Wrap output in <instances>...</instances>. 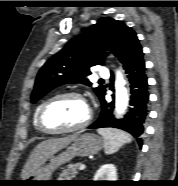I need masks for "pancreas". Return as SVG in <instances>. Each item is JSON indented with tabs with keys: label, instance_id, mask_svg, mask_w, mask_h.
Masks as SVG:
<instances>
[{
	"label": "pancreas",
	"instance_id": "1",
	"mask_svg": "<svg viewBox=\"0 0 178 186\" xmlns=\"http://www.w3.org/2000/svg\"><path fill=\"white\" fill-rule=\"evenodd\" d=\"M81 163L71 164L60 173L58 181H69L76 177Z\"/></svg>",
	"mask_w": 178,
	"mask_h": 186
}]
</instances>
